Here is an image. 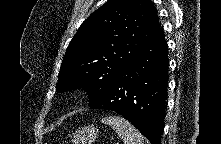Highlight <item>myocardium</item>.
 <instances>
[{
  "mask_svg": "<svg viewBox=\"0 0 221 144\" xmlns=\"http://www.w3.org/2000/svg\"><path fill=\"white\" fill-rule=\"evenodd\" d=\"M82 91H83V88H82V87H78V88L73 89V90L71 91V94H72L73 96H77V95H79L80 93H82Z\"/></svg>",
  "mask_w": 221,
  "mask_h": 144,
  "instance_id": "1",
  "label": "myocardium"
}]
</instances>
